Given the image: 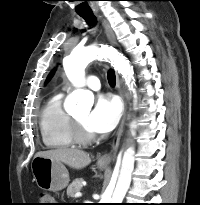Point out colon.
Wrapping results in <instances>:
<instances>
[{"instance_id":"colon-1","label":"colon","mask_w":200,"mask_h":205,"mask_svg":"<svg viewBox=\"0 0 200 205\" xmlns=\"http://www.w3.org/2000/svg\"><path fill=\"white\" fill-rule=\"evenodd\" d=\"M38 205H54L52 196L47 192L40 193Z\"/></svg>"}]
</instances>
